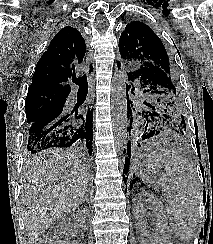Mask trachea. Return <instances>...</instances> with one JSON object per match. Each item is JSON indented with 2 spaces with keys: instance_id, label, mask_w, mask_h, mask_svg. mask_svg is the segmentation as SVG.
<instances>
[{
  "instance_id": "3493384b",
  "label": "trachea",
  "mask_w": 213,
  "mask_h": 244,
  "mask_svg": "<svg viewBox=\"0 0 213 244\" xmlns=\"http://www.w3.org/2000/svg\"><path fill=\"white\" fill-rule=\"evenodd\" d=\"M72 81L79 86L78 92H80V93L88 92V82H87L86 75L79 77V78H73Z\"/></svg>"
}]
</instances>
